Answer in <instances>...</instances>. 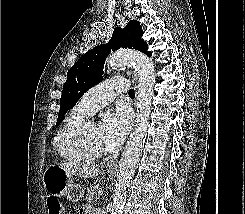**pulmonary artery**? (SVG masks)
<instances>
[{
    "label": "pulmonary artery",
    "instance_id": "pulmonary-artery-1",
    "mask_svg": "<svg viewBox=\"0 0 245 214\" xmlns=\"http://www.w3.org/2000/svg\"><path fill=\"white\" fill-rule=\"evenodd\" d=\"M128 81L122 77H114L103 81L87 91L80 104L90 113L97 111L110 103L119 93L125 92Z\"/></svg>",
    "mask_w": 245,
    "mask_h": 214
}]
</instances>
